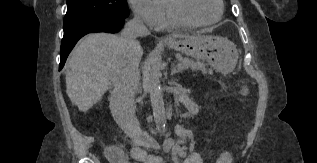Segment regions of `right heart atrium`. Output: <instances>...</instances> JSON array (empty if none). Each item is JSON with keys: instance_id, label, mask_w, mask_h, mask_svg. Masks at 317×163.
Segmentation results:
<instances>
[{"instance_id": "1", "label": "right heart atrium", "mask_w": 317, "mask_h": 163, "mask_svg": "<svg viewBox=\"0 0 317 163\" xmlns=\"http://www.w3.org/2000/svg\"><path fill=\"white\" fill-rule=\"evenodd\" d=\"M134 16L148 26H156L161 15L159 0H127Z\"/></svg>"}]
</instances>
